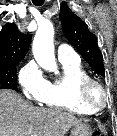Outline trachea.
Instances as JSON below:
<instances>
[{
	"instance_id": "obj_1",
	"label": "trachea",
	"mask_w": 117,
	"mask_h": 136,
	"mask_svg": "<svg viewBox=\"0 0 117 136\" xmlns=\"http://www.w3.org/2000/svg\"><path fill=\"white\" fill-rule=\"evenodd\" d=\"M33 4L36 6H41L44 3V0H32Z\"/></svg>"
}]
</instances>
